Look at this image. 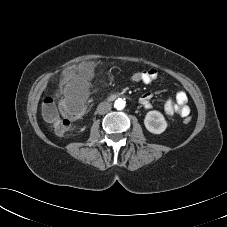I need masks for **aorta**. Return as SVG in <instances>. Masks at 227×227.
Instances as JSON below:
<instances>
[{"label":"aorta","mask_w":227,"mask_h":227,"mask_svg":"<svg viewBox=\"0 0 227 227\" xmlns=\"http://www.w3.org/2000/svg\"><path fill=\"white\" fill-rule=\"evenodd\" d=\"M125 105H126V102L124 99L122 98H118L117 100H115L114 102V107L117 109V110H122L125 108Z\"/></svg>","instance_id":"aorta-1"}]
</instances>
